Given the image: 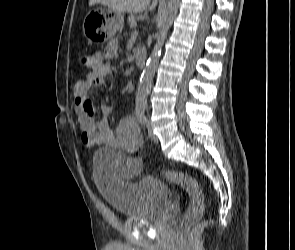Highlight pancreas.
<instances>
[{
	"instance_id": "1",
	"label": "pancreas",
	"mask_w": 295,
	"mask_h": 250,
	"mask_svg": "<svg viewBox=\"0 0 295 250\" xmlns=\"http://www.w3.org/2000/svg\"><path fill=\"white\" fill-rule=\"evenodd\" d=\"M137 17L135 14H130L128 17V23L131 27H134L133 24L136 23Z\"/></svg>"
}]
</instances>
